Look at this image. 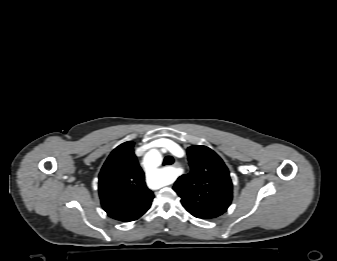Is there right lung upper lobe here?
Segmentation results:
<instances>
[{
  "instance_id": "obj_1",
  "label": "right lung upper lobe",
  "mask_w": 337,
  "mask_h": 261,
  "mask_svg": "<svg viewBox=\"0 0 337 261\" xmlns=\"http://www.w3.org/2000/svg\"><path fill=\"white\" fill-rule=\"evenodd\" d=\"M134 142L115 148L99 174L103 209L115 220H137L150 208L154 194L146 187L144 172L133 152Z\"/></svg>"
}]
</instances>
